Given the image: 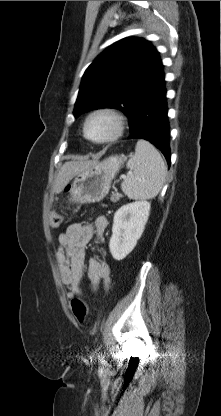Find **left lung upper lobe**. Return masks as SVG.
Masks as SVG:
<instances>
[{
  "label": "left lung upper lobe",
  "mask_w": 221,
  "mask_h": 416,
  "mask_svg": "<svg viewBox=\"0 0 221 416\" xmlns=\"http://www.w3.org/2000/svg\"><path fill=\"white\" fill-rule=\"evenodd\" d=\"M163 71L159 52L147 40L128 38L101 53L83 75L74 115L101 107L121 110L131 123L139 102Z\"/></svg>",
  "instance_id": "5c2ea615"
}]
</instances>
